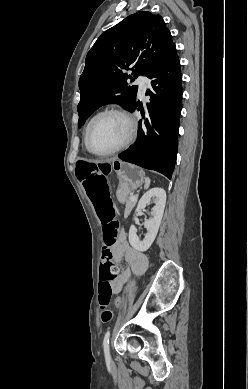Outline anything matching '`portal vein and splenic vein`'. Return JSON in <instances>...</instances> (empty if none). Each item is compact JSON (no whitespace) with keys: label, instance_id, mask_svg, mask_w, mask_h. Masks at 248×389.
I'll use <instances>...</instances> for the list:
<instances>
[{"label":"portal vein and splenic vein","instance_id":"obj_1","mask_svg":"<svg viewBox=\"0 0 248 389\" xmlns=\"http://www.w3.org/2000/svg\"><path fill=\"white\" fill-rule=\"evenodd\" d=\"M129 198L133 200V199H137V196L131 194Z\"/></svg>","mask_w":248,"mask_h":389}]
</instances>
